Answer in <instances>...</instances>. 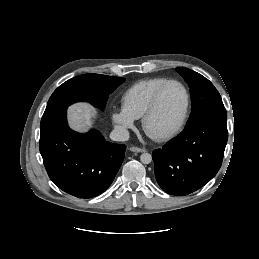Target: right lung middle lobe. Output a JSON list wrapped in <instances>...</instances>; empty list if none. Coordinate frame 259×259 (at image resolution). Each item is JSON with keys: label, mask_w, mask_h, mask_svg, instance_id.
<instances>
[{"label": "right lung middle lobe", "mask_w": 259, "mask_h": 259, "mask_svg": "<svg viewBox=\"0 0 259 259\" xmlns=\"http://www.w3.org/2000/svg\"><path fill=\"white\" fill-rule=\"evenodd\" d=\"M125 81L122 77L83 74L67 80L51 95L43 115L67 108L75 102L86 101L103 110L109 94Z\"/></svg>", "instance_id": "right-lung-middle-lobe-1"}]
</instances>
